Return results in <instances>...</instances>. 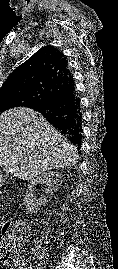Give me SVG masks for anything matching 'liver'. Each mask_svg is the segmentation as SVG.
<instances>
[{
    "instance_id": "obj_1",
    "label": "liver",
    "mask_w": 118,
    "mask_h": 269,
    "mask_svg": "<svg viewBox=\"0 0 118 269\" xmlns=\"http://www.w3.org/2000/svg\"><path fill=\"white\" fill-rule=\"evenodd\" d=\"M77 161L76 148L38 112L19 107L0 115V167L7 173L30 180Z\"/></svg>"
}]
</instances>
